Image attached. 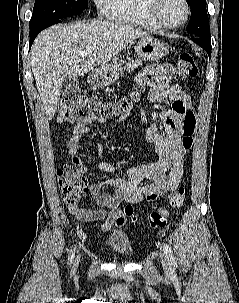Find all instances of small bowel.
Wrapping results in <instances>:
<instances>
[{"mask_svg":"<svg viewBox=\"0 0 239 303\" xmlns=\"http://www.w3.org/2000/svg\"><path fill=\"white\" fill-rule=\"evenodd\" d=\"M172 67L170 64L153 65L139 73L137 82L140 87L149 86L148 101L150 104L171 103V110L161 114L165 133H161L153 124L146 128V139L154 146L157 160L153 163L134 167L128 170V178H109L94 182L88 186L85 195H90L99 206L88 209L80 204L69 206V212L80 222L92 223L103 220L101 230L109 232L121 227L125 218L118 208L122 201L138 203L143 199L154 201L167 191L175 190L183 177V159L186 153L181 140L180 118L189 102L187 94L179 85H171ZM104 122L105 119L93 112L86 113L72 131L68 141V153L80 173L85 174L88 167L79 156L81 137L92 131L93 122ZM103 145H99V157ZM97 167L105 172L114 173L116 167L100 160ZM150 183L143 184L145 181ZM104 187L114 189L112 193H103Z\"/></svg>","mask_w":239,"mask_h":303,"instance_id":"obj_1","label":"small bowel"}]
</instances>
